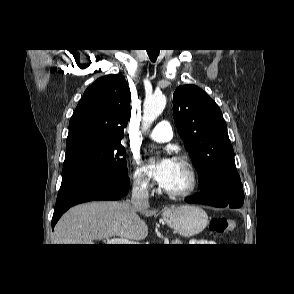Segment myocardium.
<instances>
[{
	"instance_id": "1",
	"label": "myocardium",
	"mask_w": 294,
	"mask_h": 294,
	"mask_svg": "<svg viewBox=\"0 0 294 294\" xmlns=\"http://www.w3.org/2000/svg\"><path fill=\"white\" fill-rule=\"evenodd\" d=\"M175 162L183 166L188 175V184L187 186L179 191H170L164 189L163 187L160 188L161 193L171 198H183L189 196L193 191L196 189L198 184V177L197 172L195 169L194 164L187 158L183 156H178L175 158Z\"/></svg>"
}]
</instances>
